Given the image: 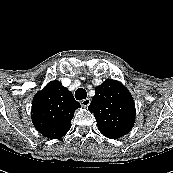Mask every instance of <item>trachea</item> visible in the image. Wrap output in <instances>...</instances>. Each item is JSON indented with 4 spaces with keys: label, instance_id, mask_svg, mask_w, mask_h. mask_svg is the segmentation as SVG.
I'll return each mask as SVG.
<instances>
[{
    "label": "trachea",
    "instance_id": "trachea-1",
    "mask_svg": "<svg viewBox=\"0 0 173 173\" xmlns=\"http://www.w3.org/2000/svg\"><path fill=\"white\" fill-rule=\"evenodd\" d=\"M87 97V92L85 89L83 88H78L75 92V98L77 100H83V99H86Z\"/></svg>",
    "mask_w": 173,
    "mask_h": 173
}]
</instances>
